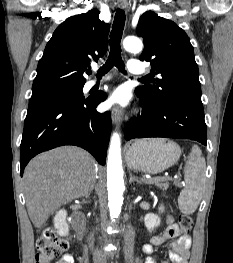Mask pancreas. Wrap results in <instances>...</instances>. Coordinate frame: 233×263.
Listing matches in <instances>:
<instances>
[{"mask_svg": "<svg viewBox=\"0 0 233 263\" xmlns=\"http://www.w3.org/2000/svg\"><path fill=\"white\" fill-rule=\"evenodd\" d=\"M147 183L149 184H155L157 187L166 190L169 187V184L166 182L162 181H157V180H146Z\"/></svg>", "mask_w": 233, "mask_h": 263, "instance_id": "cf45deb5", "label": "pancreas"}]
</instances>
